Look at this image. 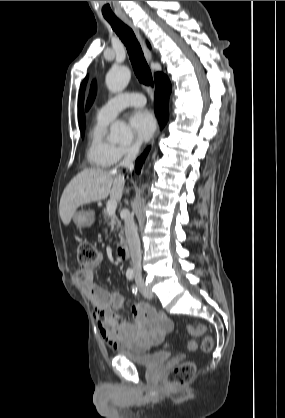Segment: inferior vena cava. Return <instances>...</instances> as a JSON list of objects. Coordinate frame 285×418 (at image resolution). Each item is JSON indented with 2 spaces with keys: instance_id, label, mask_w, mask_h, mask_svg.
<instances>
[{
  "instance_id": "inferior-vena-cava-1",
  "label": "inferior vena cava",
  "mask_w": 285,
  "mask_h": 418,
  "mask_svg": "<svg viewBox=\"0 0 285 418\" xmlns=\"http://www.w3.org/2000/svg\"><path fill=\"white\" fill-rule=\"evenodd\" d=\"M138 154V147L132 146L128 149L126 156L124 157L123 161L119 164V167L127 168L130 171L133 170L134 164L133 161ZM122 176L121 174H119ZM124 230L127 239V243L129 245L131 260L133 271L136 276L141 275V245L140 239L137 232V228L134 222V218L132 215L127 214L124 218Z\"/></svg>"
}]
</instances>
